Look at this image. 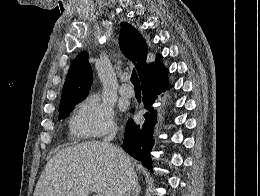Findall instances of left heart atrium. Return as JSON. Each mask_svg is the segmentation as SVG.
<instances>
[{
	"instance_id": "39dd6f15",
	"label": "left heart atrium",
	"mask_w": 260,
	"mask_h": 196,
	"mask_svg": "<svg viewBox=\"0 0 260 196\" xmlns=\"http://www.w3.org/2000/svg\"><path fill=\"white\" fill-rule=\"evenodd\" d=\"M124 190H107V192H123Z\"/></svg>"
}]
</instances>
